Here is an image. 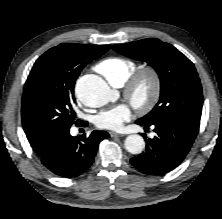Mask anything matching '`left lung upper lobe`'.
Listing matches in <instances>:
<instances>
[{
	"mask_svg": "<svg viewBox=\"0 0 222 219\" xmlns=\"http://www.w3.org/2000/svg\"><path fill=\"white\" fill-rule=\"evenodd\" d=\"M112 48L125 56L147 62L160 77V100L146 116L138 119L154 123L168 118L200 125L203 94L193 63L174 46L158 39H143Z\"/></svg>",
	"mask_w": 222,
	"mask_h": 219,
	"instance_id": "obj_1",
	"label": "left lung upper lobe"
}]
</instances>
